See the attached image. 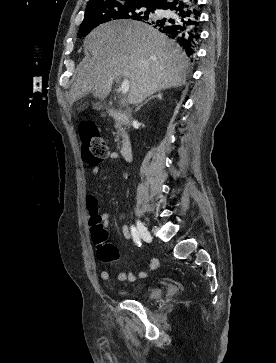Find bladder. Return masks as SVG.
Masks as SVG:
<instances>
[{
    "label": "bladder",
    "mask_w": 276,
    "mask_h": 363,
    "mask_svg": "<svg viewBox=\"0 0 276 363\" xmlns=\"http://www.w3.org/2000/svg\"><path fill=\"white\" fill-rule=\"evenodd\" d=\"M161 295H162L161 288L154 287L148 291L147 299H149V300L158 299V298H160Z\"/></svg>",
    "instance_id": "obj_1"
}]
</instances>
